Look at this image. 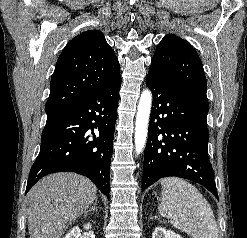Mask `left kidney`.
Returning <instances> with one entry per match:
<instances>
[{
	"label": "left kidney",
	"mask_w": 247,
	"mask_h": 238,
	"mask_svg": "<svg viewBox=\"0 0 247 238\" xmlns=\"http://www.w3.org/2000/svg\"><path fill=\"white\" fill-rule=\"evenodd\" d=\"M152 238H182V237L171 230H166L163 227H157L152 234Z\"/></svg>",
	"instance_id": "5707ae66"
}]
</instances>
